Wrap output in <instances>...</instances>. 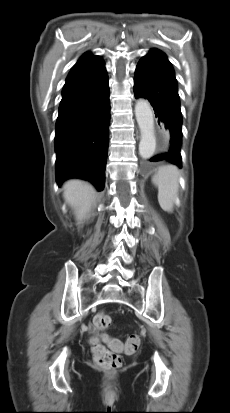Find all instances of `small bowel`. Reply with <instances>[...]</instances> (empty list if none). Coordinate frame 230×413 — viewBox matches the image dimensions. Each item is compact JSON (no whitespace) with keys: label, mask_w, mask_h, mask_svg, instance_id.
I'll return each instance as SVG.
<instances>
[{"label":"small bowel","mask_w":230,"mask_h":413,"mask_svg":"<svg viewBox=\"0 0 230 413\" xmlns=\"http://www.w3.org/2000/svg\"><path fill=\"white\" fill-rule=\"evenodd\" d=\"M90 331L91 332H93L94 331V327L93 326H90ZM101 338H102V340L104 341V342H106V343H108L111 347H113V341H116L118 344H119V342L117 341V340H115V339H111L108 335H106V334H102L101 335Z\"/></svg>","instance_id":"obj_1"}]
</instances>
